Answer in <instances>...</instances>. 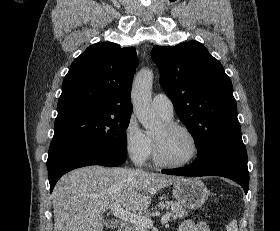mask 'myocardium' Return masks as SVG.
<instances>
[{
  "label": "myocardium",
  "instance_id": "1",
  "mask_svg": "<svg viewBox=\"0 0 280 231\" xmlns=\"http://www.w3.org/2000/svg\"><path fill=\"white\" fill-rule=\"evenodd\" d=\"M164 124L169 129L183 131L186 134H188L191 137L193 144H194V153L189 159L184 160V161H180V162L169 161L162 156L159 145H158L157 141L153 138L154 159H155L156 163L159 164L160 166L169 167V168L185 167V166H188L191 163H193L200 154V142H199V139H198L197 135L195 134V132L192 129H190L189 127H187L183 124L177 123V122L166 121Z\"/></svg>",
  "mask_w": 280,
  "mask_h": 231
}]
</instances>
